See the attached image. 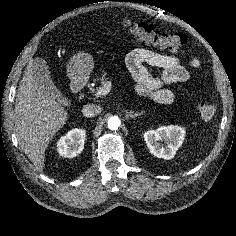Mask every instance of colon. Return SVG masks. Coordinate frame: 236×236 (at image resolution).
I'll list each match as a JSON object with an SVG mask.
<instances>
[{
    "mask_svg": "<svg viewBox=\"0 0 236 236\" xmlns=\"http://www.w3.org/2000/svg\"><path fill=\"white\" fill-rule=\"evenodd\" d=\"M122 26L125 31L140 43L170 49L179 53H184L189 46V42L184 35L162 32L146 23L126 19L123 21ZM198 112L202 119L209 120L214 117L216 108L212 103L201 102L198 105Z\"/></svg>",
    "mask_w": 236,
    "mask_h": 236,
    "instance_id": "1",
    "label": "colon"
}]
</instances>
